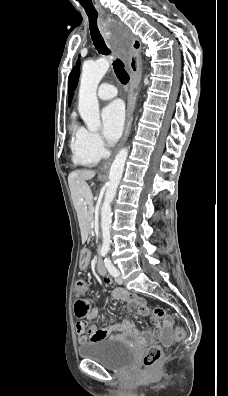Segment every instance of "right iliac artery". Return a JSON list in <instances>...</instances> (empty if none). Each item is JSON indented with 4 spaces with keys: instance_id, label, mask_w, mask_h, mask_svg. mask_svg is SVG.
<instances>
[{
    "instance_id": "right-iliac-artery-1",
    "label": "right iliac artery",
    "mask_w": 228,
    "mask_h": 396,
    "mask_svg": "<svg viewBox=\"0 0 228 396\" xmlns=\"http://www.w3.org/2000/svg\"><path fill=\"white\" fill-rule=\"evenodd\" d=\"M106 254H107V251H102L101 252V255L104 257V256H106Z\"/></svg>"
}]
</instances>
